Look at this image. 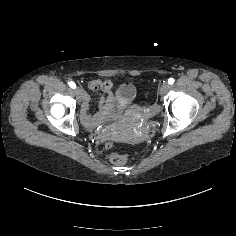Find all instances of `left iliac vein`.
<instances>
[{
    "label": "left iliac vein",
    "mask_w": 236,
    "mask_h": 236,
    "mask_svg": "<svg viewBox=\"0 0 236 236\" xmlns=\"http://www.w3.org/2000/svg\"><path fill=\"white\" fill-rule=\"evenodd\" d=\"M169 89H170L169 84L164 83V84H162L161 87H160V93H161V94H165L166 92L169 91Z\"/></svg>",
    "instance_id": "left-iliac-vein-1"
}]
</instances>
